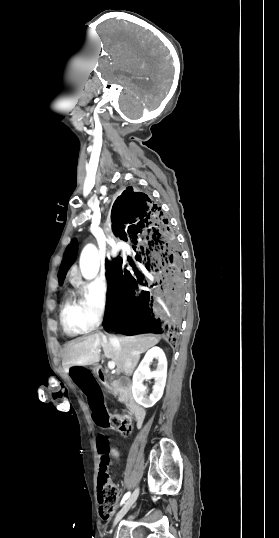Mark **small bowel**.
Returning a JSON list of instances; mask_svg holds the SVG:
<instances>
[{
	"mask_svg": "<svg viewBox=\"0 0 279 538\" xmlns=\"http://www.w3.org/2000/svg\"><path fill=\"white\" fill-rule=\"evenodd\" d=\"M111 455L113 456V458L118 459V458H119V451H118V449H116V448H112V449H111Z\"/></svg>",
	"mask_w": 279,
	"mask_h": 538,
	"instance_id": "small-bowel-1",
	"label": "small bowel"
}]
</instances>
